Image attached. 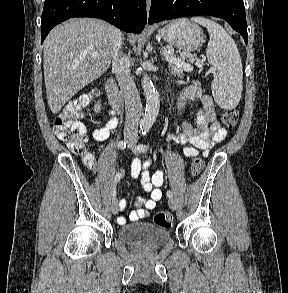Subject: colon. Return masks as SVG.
Returning <instances> with one entry per match:
<instances>
[{
    "mask_svg": "<svg viewBox=\"0 0 288 293\" xmlns=\"http://www.w3.org/2000/svg\"><path fill=\"white\" fill-rule=\"evenodd\" d=\"M97 92L83 97L82 99L67 104L62 111L58 114L54 121V132L58 139L63 141L67 147L77 155H83L84 163L89 168L95 167V159L90 154L85 152L87 143L86 127L80 120L82 110L89 104L93 96ZM239 117L237 109H229L222 115L223 124L232 129L235 127ZM204 169V161L201 158H195L191 163V173L198 176ZM156 225L170 228L172 225V216L168 212H158L154 216Z\"/></svg>",
    "mask_w": 288,
    "mask_h": 293,
    "instance_id": "obj_1",
    "label": "colon"
}]
</instances>
